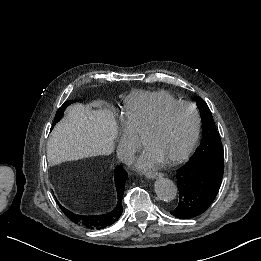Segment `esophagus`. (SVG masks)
Returning <instances> with one entry per match:
<instances>
[{
	"label": "esophagus",
	"instance_id": "34e87169",
	"mask_svg": "<svg viewBox=\"0 0 261 261\" xmlns=\"http://www.w3.org/2000/svg\"><path fill=\"white\" fill-rule=\"evenodd\" d=\"M145 176H146L147 178H149V179H155V178H157V177L163 176V174L160 173V172H148V173L145 174Z\"/></svg>",
	"mask_w": 261,
	"mask_h": 261
}]
</instances>
